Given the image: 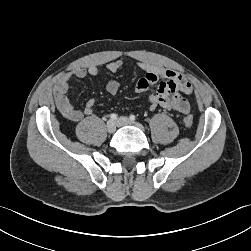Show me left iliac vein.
Returning a JSON list of instances; mask_svg holds the SVG:
<instances>
[{"instance_id":"1","label":"left iliac vein","mask_w":251,"mask_h":251,"mask_svg":"<svg viewBox=\"0 0 251 251\" xmlns=\"http://www.w3.org/2000/svg\"><path fill=\"white\" fill-rule=\"evenodd\" d=\"M116 122H117L118 126L134 125V126L140 128V129H143L142 125H140L139 123H135V122L131 121L127 117H120Z\"/></svg>"}]
</instances>
